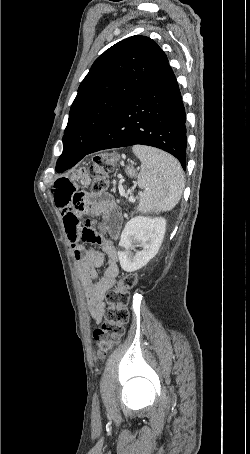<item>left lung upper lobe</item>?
<instances>
[{
    "label": "left lung upper lobe",
    "instance_id": "1",
    "mask_svg": "<svg viewBox=\"0 0 250 454\" xmlns=\"http://www.w3.org/2000/svg\"><path fill=\"white\" fill-rule=\"evenodd\" d=\"M167 63L165 53L152 39L138 35L100 55L71 106L62 154L84 155L115 113Z\"/></svg>",
    "mask_w": 250,
    "mask_h": 454
}]
</instances>
